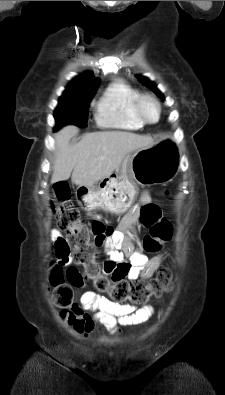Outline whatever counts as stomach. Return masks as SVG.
Instances as JSON below:
<instances>
[{
  "label": "stomach",
  "instance_id": "stomach-1",
  "mask_svg": "<svg viewBox=\"0 0 225 395\" xmlns=\"http://www.w3.org/2000/svg\"><path fill=\"white\" fill-rule=\"evenodd\" d=\"M176 173L174 155L166 147L154 144L128 154L117 173L102 179L97 187H79L77 200L85 209L122 214L132 206L138 185L167 183Z\"/></svg>",
  "mask_w": 225,
  "mask_h": 395
}]
</instances>
